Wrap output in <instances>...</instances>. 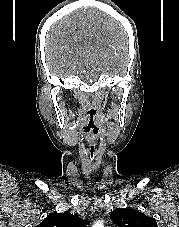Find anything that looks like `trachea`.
<instances>
[{
    "instance_id": "3493384b",
    "label": "trachea",
    "mask_w": 179,
    "mask_h": 227,
    "mask_svg": "<svg viewBox=\"0 0 179 227\" xmlns=\"http://www.w3.org/2000/svg\"><path fill=\"white\" fill-rule=\"evenodd\" d=\"M91 154L89 155L91 158L94 156L93 154L95 153L93 150L90 152Z\"/></svg>"
}]
</instances>
